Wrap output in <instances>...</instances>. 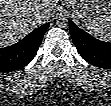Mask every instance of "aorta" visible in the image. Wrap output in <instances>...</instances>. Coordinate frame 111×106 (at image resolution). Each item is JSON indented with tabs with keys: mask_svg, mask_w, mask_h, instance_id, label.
Here are the masks:
<instances>
[{
	"mask_svg": "<svg viewBox=\"0 0 111 106\" xmlns=\"http://www.w3.org/2000/svg\"><path fill=\"white\" fill-rule=\"evenodd\" d=\"M59 27H66L68 25V20L66 17H59L56 23Z\"/></svg>",
	"mask_w": 111,
	"mask_h": 106,
	"instance_id": "aorta-1",
	"label": "aorta"
}]
</instances>
